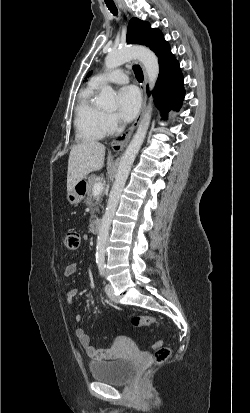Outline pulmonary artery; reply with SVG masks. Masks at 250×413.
<instances>
[{
	"label": "pulmonary artery",
	"mask_w": 250,
	"mask_h": 413,
	"mask_svg": "<svg viewBox=\"0 0 250 413\" xmlns=\"http://www.w3.org/2000/svg\"><path fill=\"white\" fill-rule=\"evenodd\" d=\"M128 80V72L120 68L98 74L93 78V82L99 86L106 83L125 84Z\"/></svg>",
	"instance_id": "obj_1"
}]
</instances>
